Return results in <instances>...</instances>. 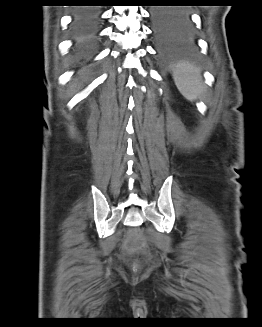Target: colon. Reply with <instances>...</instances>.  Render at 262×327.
Returning a JSON list of instances; mask_svg holds the SVG:
<instances>
[{
    "mask_svg": "<svg viewBox=\"0 0 262 327\" xmlns=\"http://www.w3.org/2000/svg\"><path fill=\"white\" fill-rule=\"evenodd\" d=\"M134 239H135V240H137L138 238H137V237H135Z\"/></svg>",
    "mask_w": 262,
    "mask_h": 327,
    "instance_id": "obj_1",
    "label": "colon"
}]
</instances>
